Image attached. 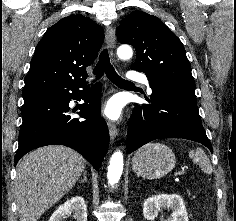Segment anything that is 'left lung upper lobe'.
Returning <instances> with one entry per match:
<instances>
[{"instance_id": "left-lung-upper-lobe-1", "label": "left lung upper lobe", "mask_w": 236, "mask_h": 221, "mask_svg": "<svg viewBox=\"0 0 236 221\" xmlns=\"http://www.w3.org/2000/svg\"><path fill=\"white\" fill-rule=\"evenodd\" d=\"M116 32L120 43L132 45L137 52L131 69L144 72L155 84L195 91L185 49L160 19L133 11L121 21Z\"/></svg>"}]
</instances>
